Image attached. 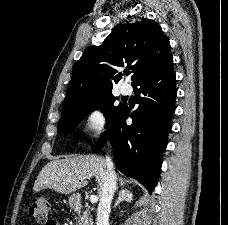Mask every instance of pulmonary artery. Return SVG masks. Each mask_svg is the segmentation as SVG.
<instances>
[{
  "instance_id": "1",
  "label": "pulmonary artery",
  "mask_w": 228,
  "mask_h": 225,
  "mask_svg": "<svg viewBox=\"0 0 228 225\" xmlns=\"http://www.w3.org/2000/svg\"><path fill=\"white\" fill-rule=\"evenodd\" d=\"M120 92L123 95H128L131 92V87L129 84L124 83L122 84L121 88H120Z\"/></svg>"
}]
</instances>
